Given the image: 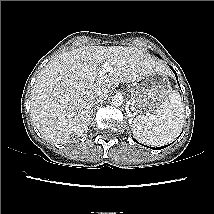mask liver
Here are the masks:
<instances>
[{
	"label": "liver",
	"instance_id": "liver-1",
	"mask_svg": "<svg viewBox=\"0 0 214 214\" xmlns=\"http://www.w3.org/2000/svg\"><path fill=\"white\" fill-rule=\"evenodd\" d=\"M108 62L113 72L100 75ZM164 64L137 47L83 46L53 58L35 81L31 116L40 134L56 143H68L71 136L87 131L93 113L90 94L107 93L119 83H133Z\"/></svg>",
	"mask_w": 214,
	"mask_h": 214
}]
</instances>
